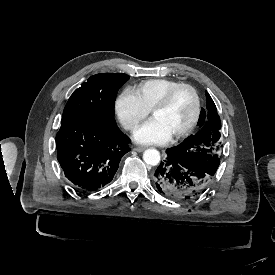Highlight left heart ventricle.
Returning <instances> with one entry per match:
<instances>
[{"label": "left heart ventricle", "mask_w": 275, "mask_h": 275, "mask_svg": "<svg viewBox=\"0 0 275 275\" xmlns=\"http://www.w3.org/2000/svg\"><path fill=\"white\" fill-rule=\"evenodd\" d=\"M195 110V100L188 88L178 89L169 104L153 115L161 127L173 136L183 130L191 121Z\"/></svg>", "instance_id": "left-heart-ventricle-1"}]
</instances>
